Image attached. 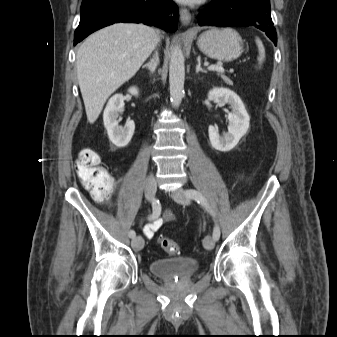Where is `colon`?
<instances>
[{
	"mask_svg": "<svg viewBox=\"0 0 337 337\" xmlns=\"http://www.w3.org/2000/svg\"><path fill=\"white\" fill-rule=\"evenodd\" d=\"M77 174L86 190L97 201L107 200L115 187L111 175L101 166L100 154L91 148L80 150L76 162ZM161 247L170 254L180 251L179 244L169 238L159 239Z\"/></svg>",
	"mask_w": 337,
	"mask_h": 337,
	"instance_id": "5ec220e1",
	"label": "colon"
}]
</instances>
